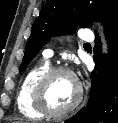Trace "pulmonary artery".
<instances>
[{
  "instance_id": "e3ab8cb5",
  "label": "pulmonary artery",
  "mask_w": 118,
  "mask_h": 123,
  "mask_svg": "<svg viewBox=\"0 0 118 123\" xmlns=\"http://www.w3.org/2000/svg\"><path fill=\"white\" fill-rule=\"evenodd\" d=\"M93 38L92 33L89 29H84L83 32L80 34V39L84 41H91ZM43 56L45 59H50L53 56V51L51 49H45L43 51Z\"/></svg>"
}]
</instances>
